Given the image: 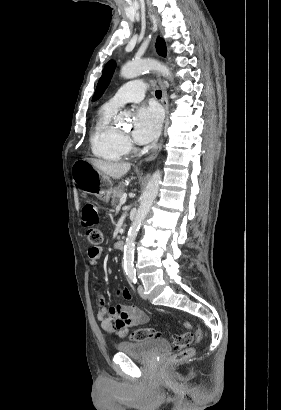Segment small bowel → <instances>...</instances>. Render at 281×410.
I'll list each match as a JSON object with an SVG mask.
<instances>
[{"instance_id":"small-bowel-1","label":"small bowel","mask_w":281,"mask_h":410,"mask_svg":"<svg viewBox=\"0 0 281 410\" xmlns=\"http://www.w3.org/2000/svg\"><path fill=\"white\" fill-rule=\"evenodd\" d=\"M101 254L100 246H92L88 249L89 263L93 270L97 269ZM117 295L126 300L131 298L128 288H120ZM98 304L97 319L109 334L122 336L129 327L145 324L149 320L148 315L134 305H117L107 308L101 297H99Z\"/></svg>"}]
</instances>
